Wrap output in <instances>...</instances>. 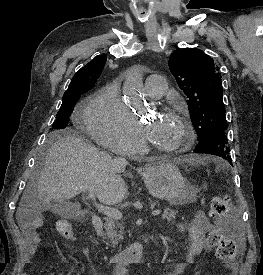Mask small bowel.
<instances>
[{"mask_svg": "<svg viewBox=\"0 0 263 275\" xmlns=\"http://www.w3.org/2000/svg\"><path fill=\"white\" fill-rule=\"evenodd\" d=\"M179 230L182 234L186 235L188 261H192L202 252L208 253L210 251L212 246L209 243V237L216 229L214 225L209 221L205 213L198 212L189 224L180 225ZM27 234L31 238V246L28 250V257L26 259L29 262L31 256L35 252V247L36 244L39 242V237L33 230H31V228L27 230ZM181 269V264L168 266L166 268H163L158 275H178ZM122 273L123 270L116 269V275H121ZM233 274L234 272L231 275ZM22 275L28 274L23 273Z\"/></svg>", "mask_w": 263, "mask_h": 275, "instance_id": "1", "label": "small bowel"}]
</instances>
